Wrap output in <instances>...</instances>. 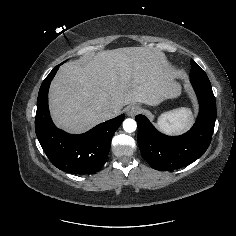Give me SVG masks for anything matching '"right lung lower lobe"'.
<instances>
[{"label":"right lung lower lobe","instance_id":"1","mask_svg":"<svg viewBox=\"0 0 236 236\" xmlns=\"http://www.w3.org/2000/svg\"><path fill=\"white\" fill-rule=\"evenodd\" d=\"M60 65L53 68L40 87L35 117L36 135L45 154L58 169L71 174H93L107 161L112 136L125 115L101 123L80 135L58 129L50 117L48 90Z\"/></svg>","mask_w":236,"mask_h":236}]
</instances>
